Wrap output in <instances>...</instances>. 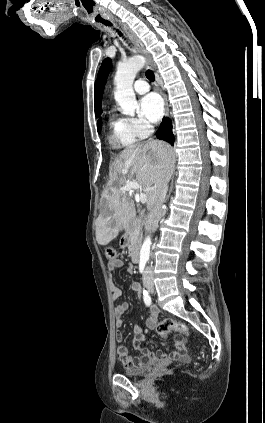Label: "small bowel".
Wrapping results in <instances>:
<instances>
[{
	"label": "small bowel",
	"instance_id": "small-bowel-1",
	"mask_svg": "<svg viewBox=\"0 0 265 423\" xmlns=\"http://www.w3.org/2000/svg\"><path fill=\"white\" fill-rule=\"evenodd\" d=\"M124 261L121 259H116L115 261L108 262V270L110 272L109 276V287L112 292V300L116 301L121 296V290L115 285L112 277V272L115 269L121 268L124 266ZM135 271V267L132 263L127 265V272L133 273ZM132 290L140 293L141 287L138 283L132 284ZM129 305L126 302L120 303L115 306L114 308V317H115V327L117 330L123 327V319L122 316L128 310ZM160 313L159 310L152 306L150 308V316L146 321V326L149 329H154L159 321ZM134 339H133V346L140 350L141 357H134L129 354L128 348L122 343V334L120 332L117 333V340L119 345L117 347L118 355L126 367H139L144 364V360L147 362L157 361L159 359H180L183 357L184 354V341L181 339H177L174 342V350L170 354H156L152 352L148 348L142 347V343L144 341L143 329L140 326H136L134 329Z\"/></svg>",
	"mask_w": 265,
	"mask_h": 423
}]
</instances>
